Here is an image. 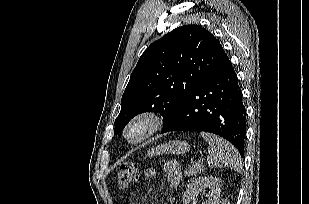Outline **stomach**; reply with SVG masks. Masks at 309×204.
<instances>
[{"mask_svg": "<svg viewBox=\"0 0 309 204\" xmlns=\"http://www.w3.org/2000/svg\"><path fill=\"white\" fill-rule=\"evenodd\" d=\"M190 150V146L185 141H170L165 144L158 145L148 151V156L163 154H184Z\"/></svg>", "mask_w": 309, "mask_h": 204, "instance_id": "1", "label": "stomach"}]
</instances>
